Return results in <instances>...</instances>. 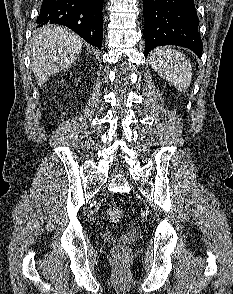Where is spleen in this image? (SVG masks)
Listing matches in <instances>:
<instances>
[{
	"mask_svg": "<svg viewBox=\"0 0 233 294\" xmlns=\"http://www.w3.org/2000/svg\"><path fill=\"white\" fill-rule=\"evenodd\" d=\"M152 68L179 91H186L192 81V67L186 56L171 48H156L150 56Z\"/></svg>",
	"mask_w": 233,
	"mask_h": 294,
	"instance_id": "spleen-1",
	"label": "spleen"
}]
</instances>
